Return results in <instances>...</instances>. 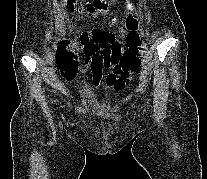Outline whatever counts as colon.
Wrapping results in <instances>:
<instances>
[{
	"mask_svg": "<svg viewBox=\"0 0 207 179\" xmlns=\"http://www.w3.org/2000/svg\"><path fill=\"white\" fill-rule=\"evenodd\" d=\"M69 9L84 13L88 16L105 14L109 11L113 0H66ZM129 33L127 36L128 47L122 53L120 45L115 41L113 33L99 30L82 40L87 52L86 66L95 75L99 76L103 71L113 67L110 79L120 88L129 75L140 68L141 60L138 56L141 37L137 32L138 22L133 17L127 19ZM70 41L64 40L58 48V63L60 72L65 78H71L75 74L74 53L70 49Z\"/></svg>",
	"mask_w": 207,
	"mask_h": 179,
	"instance_id": "obj_1",
	"label": "colon"
}]
</instances>
